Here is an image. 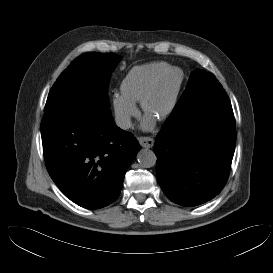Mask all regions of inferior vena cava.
Listing matches in <instances>:
<instances>
[{"mask_svg":"<svg viewBox=\"0 0 273 273\" xmlns=\"http://www.w3.org/2000/svg\"><path fill=\"white\" fill-rule=\"evenodd\" d=\"M115 123L119 128L123 130L129 129L132 126L130 117L126 115H117L115 117Z\"/></svg>","mask_w":273,"mask_h":273,"instance_id":"602c4592","label":"inferior vena cava"}]
</instances>
